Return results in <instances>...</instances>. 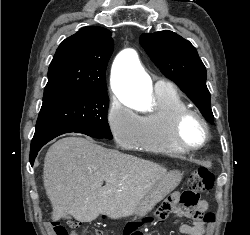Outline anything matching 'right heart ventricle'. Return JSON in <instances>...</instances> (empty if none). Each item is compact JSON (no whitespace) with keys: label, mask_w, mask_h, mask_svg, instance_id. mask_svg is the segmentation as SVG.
<instances>
[{"label":"right heart ventricle","mask_w":250,"mask_h":235,"mask_svg":"<svg viewBox=\"0 0 250 235\" xmlns=\"http://www.w3.org/2000/svg\"><path fill=\"white\" fill-rule=\"evenodd\" d=\"M186 108L185 101L171 85L160 90L155 88L152 108L141 117V135L136 148L164 155L183 154L172 139L171 125L176 113Z\"/></svg>","instance_id":"obj_1"}]
</instances>
